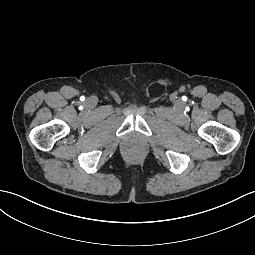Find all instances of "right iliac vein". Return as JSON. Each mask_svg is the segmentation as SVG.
<instances>
[{
    "label": "right iliac vein",
    "instance_id": "obj_1",
    "mask_svg": "<svg viewBox=\"0 0 255 255\" xmlns=\"http://www.w3.org/2000/svg\"><path fill=\"white\" fill-rule=\"evenodd\" d=\"M95 100L94 99H88L87 100V105L89 106V107H93V106H95Z\"/></svg>",
    "mask_w": 255,
    "mask_h": 255
}]
</instances>
